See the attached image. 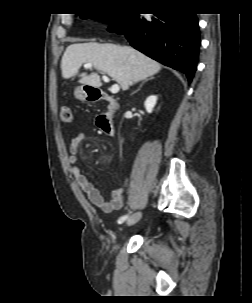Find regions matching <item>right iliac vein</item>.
<instances>
[{"mask_svg": "<svg viewBox=\"0 0 252 303\" xmlns=\"http://www.w3.org/2000/svg\"><path fill=\"white\" fill-rule=\"evenodd\" d=\"M141 217H142L141 213L133 214L127 219L126 224L128 226H132V225L136 224L140 220Z\"/></svg>", "mask_w": 252, "mask_h": 303, "instance_id": "63e3f726", "label": "right iliac vein"}]
</instances>
